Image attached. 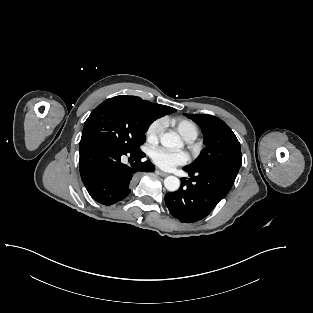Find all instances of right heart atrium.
<instances>
[{"label": "right heart atrium", "instance_id": "d8ad5b80", "mask_svg": "<svg viewBox=\"0 0 313 313\" xmlns=\"http://www.w3.org/2000/svg\"><path fill=\"white\" fill-rule=\"evenodd\" d=\"M163 125L164 123L162 120H155L148 126L146 130V138L148 142L155 143L158 141Z\"/></svg>", "mask_w": 313, "mask_h": 313}]
</instances>
